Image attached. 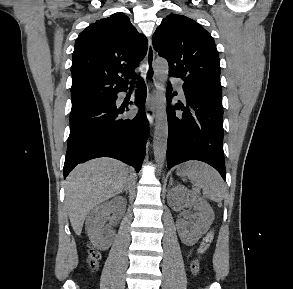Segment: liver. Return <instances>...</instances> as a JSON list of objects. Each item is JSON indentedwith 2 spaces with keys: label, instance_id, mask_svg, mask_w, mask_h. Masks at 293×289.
I'll return each mask as SVG.
<instances>
[{
  "label": "liver",
  "instance_id": "1",
  "mask_svg": "<svg viewBox=\"0 0 293 289\" xmlns=\"http://www.w3.org/2000/svg\"><path fill=\"white\" fill-rule=\"evenodd\" d=\"M130 172L120 161L99 158L78 165L69 174L65 183V207L77 235L81 234L91 209L122 192Z\"/></svg>",
  "mask_w": 293,
  "mask_h": 289
}]
</instances>
